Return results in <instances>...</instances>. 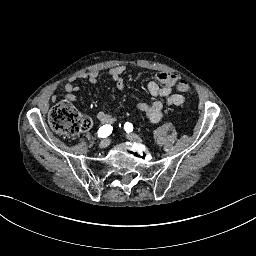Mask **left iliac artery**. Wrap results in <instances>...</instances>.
I'll list each match as a JSON object with an SVG mask.
<instances>
[{
	"label": "left iliac artery",
	"instance_id": "44dca946",
	"mask_svg": "<svg viewBox=\"0 0 256 256\" xmlns=\"http://www.w3.org/2000/svg\"><path fill=\"white\" fill-rule=\"evenodd\" d=\"M124 129L127 133L132 132L133 131V125L129 122H126L124 125Z\"/></svg>",
	"mask_w": 256,
	"mask_h": 256
}]
</instances>
